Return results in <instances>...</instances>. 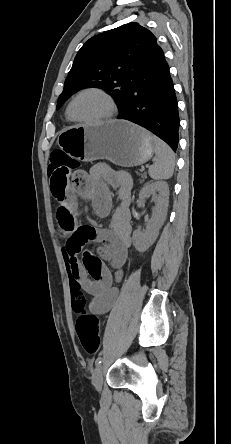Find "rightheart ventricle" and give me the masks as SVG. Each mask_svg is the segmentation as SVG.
<instances>
[{"label":"right heart ventricle","instance_id":"e07e8e85","mask_svg":"<svg viewBox=\"0 0 231 444\" xmlns=\"http://www.w3.org/2000/svg\"><path fill=\"white\" fill-rule=\"evenodd\" d=\"M66 115H67V118H68L69 120H72L71 117H70V115H69V113H68V108H67V111H66Z\"/></svg>","mask_w":231,"mask_h":444}]
</instances>
